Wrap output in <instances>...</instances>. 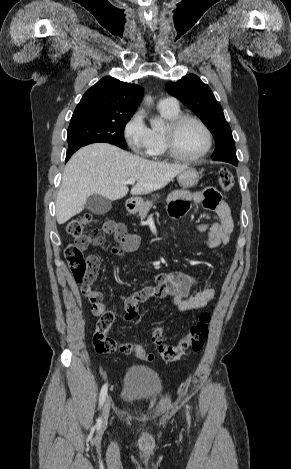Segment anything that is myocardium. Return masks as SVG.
Returning <instances> with one entry per match:
<instances>
[{
    "instance_id": "1",
    "label": "myocardium",
    "mask_w": 291,
    "mask_h": 469,
    "mask_svg": "<svg viewBox=\"0 0 291 469\" xmlns=\"http://www.w3.org/2000/svg\"><path fill=\"white\" fill-rule=\"evenodd\" d=\"M187 121L196 123L203 130L206 138L204 149L198 155L193 157H185L180 155L176 150L174 142L176 131L183 123ZM162 137L166 154L176 161L185 163H193L203 159L211 150L213 143V136L208 126L198 117L189 114H180L170 120L162 130Z\"/></svg>"
}]
</instances>
